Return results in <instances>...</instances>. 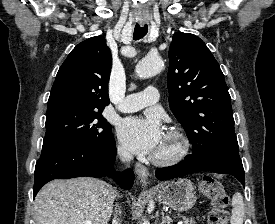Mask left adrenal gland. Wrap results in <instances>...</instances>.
<instances>
[{"label": "left adrenal gland", "mask_w": 275, "mask_h": 224, "mask_svg": "<svg viewBox=\"0 0 275 224\" xmlns=\"http://www.w3.org/2000/svg\"><path fill=\"white\" fill-rule=\"evenodd\" d=\"M165 223H166V218L164 216V213H162V222H161V224H165ZM167 224H169V223H167Z\"/></svg>", "instance_id": "left-adrenal-gland-1"}]
</instances>
